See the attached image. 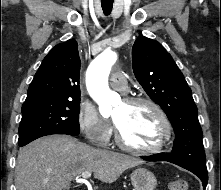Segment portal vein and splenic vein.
Listing matches in <instances>:
<instances>
[{"instance_id": "1", "label": "portal vein and splenic vein", "mask_w": 221, "mask_h": 190, "mask_svg": "<svg viewBox=\"0 0 221 190\" xmlns=\"http://www.w3.org/2000/svg\"><path fill=\"white\" fill-rule=\"evenodd\" d=\"M91 176V172H83L82 174H81V179H80V181H86V179H88L89 177Z\"/></svg>"}]
</instances>
